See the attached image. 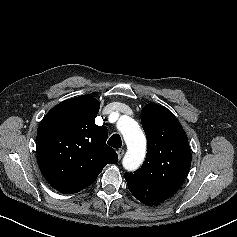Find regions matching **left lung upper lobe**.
I'll list each match as a JSON object with an SVG mask.
<instances>
[{"instance_id": "obj_1", "label": "left lung upper lobe", "mask_w": 237, "mask_h": 237, "mask_svg": "<svg viewBox=\"0 0 237 237\" xmlns=\"http://www.w3.org/2000/svg\"><path fill=\"white\" fill-rule=\"evenodd\" d=\"M141 122L147 137L146 159L140 169L124 176L139 201L155 205L179 190L189 172L192 154L183 127L164 106H144Z\"/></svg>"}]
</instances>
